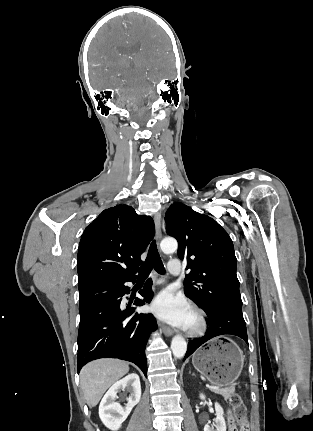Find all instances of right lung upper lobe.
Here are the masks:
<instances>
[{
    "label": "right lung upper lobe",
    "mask_w": 313,
    "mask_h": 431,
    "mask_svg": "<svg viewBox=\"0 0 313 431\" xmlns=\"http://www.w3.org/2000/svg\"><path fill=\"white\" fill-rule=\"evenodd\" d=\"M150 216L138 215L128 205L104 210L81 236L78 247V286L136 277L140 255L154 236Z\"/></svg>",
    "instance_id": "obj_1"
}]
</instances>
